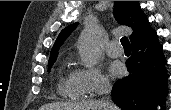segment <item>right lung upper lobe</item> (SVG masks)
Wrapping results in <instances>:
<instances>
[{"label": "right lung upper lobe", "instance_id": "obj_1", "mask_svg": "<svg viewBox=\"0 0 171 110\" xmlns=\"http://www.w3.org/2000/svg\"><path fill=\"white\" fill-rule=\"evenodd\" d=\"M114 16L120 24L133 29L130 36L132 43L142 40L154 32L137 1H115ZM76 26L77 23L69 25L60 32L52 47L50 58L58 55L59 48Z\"/></svg>", "mask_w": 171, "mask_h": 110}]
</instances>
